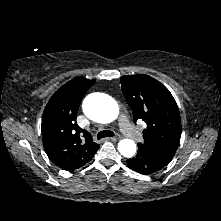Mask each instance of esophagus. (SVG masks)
I'll list each match as a JSON object with an SVG mask.
<instances>
[{
	"instance_id": "esophagus-1",
	"label": "esophagus",
	"mask_w": 221,
	"mask_h": 221,
	"mask_svg": "<svg viewBox=\"0 0 221 221\" xmlns=\"http://www.w3.org/2000/svg\"><path fill=\"white\" fill-rule=\"evenodd\" d=\"M122 137L120 135H116L114 137L111 138L112 141L116 142L119 141Z\"/></svg>"
}]
</instances>
